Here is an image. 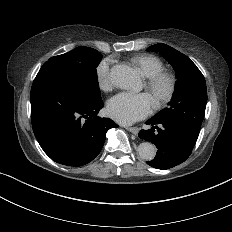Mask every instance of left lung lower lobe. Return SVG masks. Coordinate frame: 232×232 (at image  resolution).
Instances as JSON below:
<instances>
[{
	"instance_id": "left-lung-lower-lobe-1",
	"label": "left lung lower lobe",
	"mask_w": 232,
	"mask_h": 232,
	"mask_svg": "<svg viewBox=\"0 0 232 232\" xmlns=\"http://www.w3.org/2000/svg\"><path fill=\"white\" fill-rule=\"evenodd\" d=\"M146 124L153 127L141 130L139 138L152 142L158 149L155 158L147 162L148 165L157 169H169L184 162L191 155L198 134L173 121L151 118Z\"/></svg>"
}]
</instances>
